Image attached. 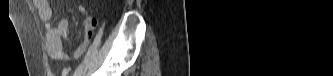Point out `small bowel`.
<instances>
[{
	"instance_id": "obj_1",
	"label": "small bowel",
	"mask_w": 333,
	"mask_h": 76,
	"mask_svg": "<svg viewBox=\"0 0 333 76\" xmlns=\"http://www.w3.org/2000/svg\"><path fill=\"white\" fill-rule=\"evenodd\" d=\"M34 5L38 10V15L41 21L44 22L46 34L45 44L46 50L49 56L55 60H61L66 58L62 47V38L68 36L70 30V23L68 20L63 19L57 26H54L50 20L52 11L47 0H34ZM78 10L83 14H88V10L82 4H78ZM97 25V19L88 16L84 21V40L82 44L77 48L75 56L81 55L86 47L89 45L94 29Z\"/></svg>"
}]
</instances>
